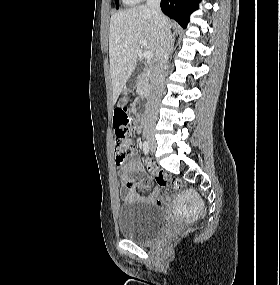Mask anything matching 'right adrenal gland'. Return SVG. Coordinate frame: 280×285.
<instances>
[{"mask_svg":"<svg viewBox=\"0 0 280 285\" xmlns=\"http://www.w3.org/2000/svg\"><path fill=\"white\" fill-rule=\"evenodd\" d=\"M173 46H174V39L172 40V48H173Z\"/></svg>","mask_w":280,"mask_h":285,"instance_id":"2a0ac1e0","label":"right adrenal gland"}]
</instances>
